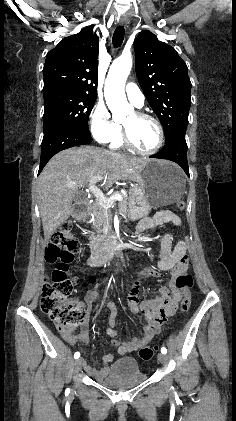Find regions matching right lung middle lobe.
<instances>
[{
    "instance_id": "obj_1",
    "label": "right lung middle lobe",
    "mask_w": 236,
    "mask_h": 421,
    "mask_svg": "<svg viewBox=\"0 0 236 421\" xmlns=\"http://www.w3.org/2000/svg\"><path fill=\"white\" fill-rule=\"evenodd\" d=\"M43 97L44 135L65 128L91 136L88 117L96 97L60 89L43 90Z\"/></svg>"
}]
</instances>
